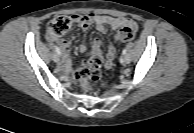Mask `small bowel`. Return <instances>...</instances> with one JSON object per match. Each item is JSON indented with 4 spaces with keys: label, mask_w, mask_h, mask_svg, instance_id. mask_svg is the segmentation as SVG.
Here are the masks:
<instances>
[{
    "label": "small bowel",
    "mask_w": 194,
    "mask_h": 133,
    "mask_svg": "<svg viewBox=\"0 0 194 133\" xmlns=\"http://www.w3.org/2000/svg\"><path fill=\"white\" fill-rule=\"evenodd\" d=\"M72 20L76 22L83 30H87L92 24L95 25L96 29L102 33H105L110 27L113 30L131 28L134 32L137 30V24L134 20L125 17H111L108 15H99L94 13L89 14H77L72 16ZM50 41H56L63 52V62L62 67L66 73L71 70V62L69 60V48L70 42L66 39H58L52 36L49 32L47 35ZM101 46V41L99 39H94L92 42V49L99 50ZM79 50L82 53L88 51V47L85 44L79 46ZM117 49L115 46L110 45L107 49L105 67L110 68L113 64V60L116 56Z\"/></svg>",
    "instance_id": "obj_1"
}]
</instances>
